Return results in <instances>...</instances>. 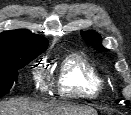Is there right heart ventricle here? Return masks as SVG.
I'll return each instance as SVG.
<instances>
[{"mask_svg":"<svg viewBox=\"0 0 131 115\" xmlns=\"http://www.w3.org/2000/svg\"><path fill=\"white\" fill-rule=\"evenodd\" d=\"M106 86L96 66L82 55L71 53L61 61L55 87L62 98L97 99L105 93Z\"/></svg>","mask_w":131,"mask_h":115,"instance_id":"1","label":"right heart ventricle"}]
</instances>
